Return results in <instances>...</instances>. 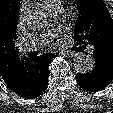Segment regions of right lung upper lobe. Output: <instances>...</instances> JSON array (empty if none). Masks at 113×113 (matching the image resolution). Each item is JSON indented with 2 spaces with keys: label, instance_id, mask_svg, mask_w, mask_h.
I'll return each instance as SVG.
<instances>
[{
  "label": "right lung upper lobe",
  "instance_id": "right-lung-upper-lobe-1",
  "mask_svg": "<svg viewBox=\"0 0 113 113\" xmlns=\"http://www.w3.org/2000/svg\"><path fill=\"white\" fill-rule=\"evenodd\" d=\"M19 2L20 0H0V74L5 82L16 74L22 61L15 47Z\"/></svg>",
  "mask_w": 113,
  "mask_h": 113
}]
</instances>
